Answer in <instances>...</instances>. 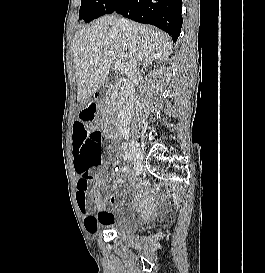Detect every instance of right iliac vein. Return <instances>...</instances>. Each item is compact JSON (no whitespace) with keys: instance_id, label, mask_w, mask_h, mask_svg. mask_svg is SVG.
Returning <instances> with one entry per match:
<instances>
[{"instance_id":"right-iliac-vein-1","label":"right iliac vein","mask_w":265,"mask_h":273,"mask_svg":"<svg viewBox=\"0 0 265 273\" xmlns=\"http://www.w3.org/2000/svg\"><path fill=\"white\" fill-rule=\"evenodd\" d=\"M130 149H131V153H132L133 158L136 163V173L139 175L141 172V166L143 163L142 149H141L139 143L134 139H131V141H130Z\"/></svg>"}]
</instances>
